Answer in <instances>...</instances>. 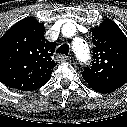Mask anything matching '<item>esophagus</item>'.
<instances>
[{
  "instance_id": "esophagus-1",
  "label": "esophagus",
  "mask_w": 127,
  "mask_h": 127,
  "mask_svg": "<svg viewBox=\"0 0 127 127\" xmlns=\"http://www.w3.org/2000/svg\"><path fill=\"white\" fill-rule=\"evenodd\" d=\"M56 58H57V61H59V62H65V61L69 60V57L65 56V55H57Z\"/></svg>"
}]
</instances>
